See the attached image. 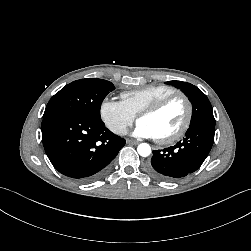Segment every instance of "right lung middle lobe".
Instances as JSON below:
<instances>
[{
    "mask_svg": "<svg viewBox=\"0 0 251 251\" xmlns=\"http://www.w3.org/2000/svg\"><path fill=\"white\" fill-rule=\"evenodd\" d=\"M114 85L103 79L86 78L74 81L48 102L44 115L52 113H68L100 118V107Z\"/></svg>",
    "mask_w": 251,
    "mask_h": 251,
    "instance_id": "1",
    "label": "right lung middle lobe"
}]
</instances>
